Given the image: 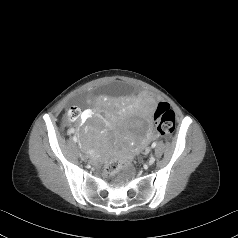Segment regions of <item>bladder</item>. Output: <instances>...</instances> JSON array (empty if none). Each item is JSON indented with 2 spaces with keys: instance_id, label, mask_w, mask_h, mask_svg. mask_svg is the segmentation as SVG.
I'll list each match as a JSON object with an SVG mask.
<instances>
[{
  "instance_id": "bladder-1",
  "label": "bladder",
  "mask_w": 238,
  "mask_h": 238,
  "mask_svg": "<svg viewBox=\"0 0 238 238\" xmlns=\"http://www.w3.org/2000/svg\"><path fill=\"white\" fill-rule=\"evenodd\" d=\"M139 90L137 87L129 84H125L123 82L114 83V84H104L100 87H96L93 89L92 94L94 97L99 98L101 96H109V95H129L131 97L137 96Z\"/></svg>"
}]
</instances>
